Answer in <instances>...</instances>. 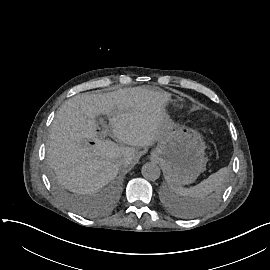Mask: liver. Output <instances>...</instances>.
<instances>
[{"label":"liver","mask_w":270,"mask_h":270,"mask_svg":"<svg viewBox=\"0 0 270 270\" xmlns=\"http://www.w3.org/2000/svg\"><path fill=\"white\" fill-rule=\"evenodd\" d=\"M172 102L170 94L145 87L68 99L57 111L47 148L58 181L78 193H96L124 165L133 164L135 147L153 146L160 140L170 120L163 110ZM103 115L110 118L120 145L98 137V118ZM85 140L93 144H84Z\"/></svg>","instance_id":"1"}]
</instances>
